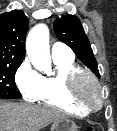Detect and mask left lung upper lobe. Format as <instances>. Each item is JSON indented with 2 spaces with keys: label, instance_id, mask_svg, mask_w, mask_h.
I'll return each mask as SVG.
<instances>
[{
  "label": "left lung upper lobe",
  "instance_id": "1",
  "mask_svg": "<svg viewBox=\"0 0 117 131\" xmlns=\"http://www.w3.org/2000/svg\"><path fill=\"white\" fill-rule=\"evenodd\" d=\"M54 30L58 39L70 46L80 61L100 77L96 59L80 20L73 15L56 18Z\"/></svg>",
  "mask_w": 117,
  "mask_h": 131
}]
</instances>
